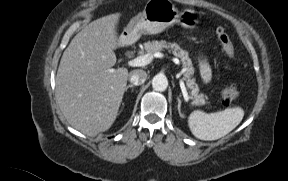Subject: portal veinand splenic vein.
Segmentation results:
<instances>
[{
	"label": "portal vein and splenic vein",
	"instance_id": "obj_1",
	"mask_svg": "<svg viewBox=\"0 0 288 181\" xmlns=\"http://www.w3.org/2000/svg\"><path fill=\"white\" fill-rule=\"evenodd\" d=\"M163 56L164 55L162 53H160V52H156L153 55L145 54V55L138 56V57L128 61V65L131 66V67L145 66V65H148L149 63H151L153 57L163 58ZM172 61L175 64H179V60L177 58H172ZM180 87H181V91H182V94H183V97H184L185 101L188 102L189 101V96H188L186 87L184 85V82L182 80H180Z\"/></svg>",
	"mask_w": 288,
	"mask_h": 181
}]
</instances>
